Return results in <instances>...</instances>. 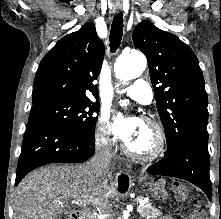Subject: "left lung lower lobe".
I'll use <instances>...</instances> for the list:
<instances>
[{
    "label": "left lung lower lobe",
    "mask_w": 221,
    "mask_h": 219,
    "mask_svg": "<svg viewBox=\"0 0 221 219\" xmlns=\"http://www.w3.org/2000/svg\"><path fill=\"white\" fill-rule=\"evenodd\" d=\"M153 175L176 177L201 188L211 200L208 139L190 137L158 163L147 168Z\"/></svg>",
    "instance_id": "left-lung-lower-lobe-1"
}]
</instances>
